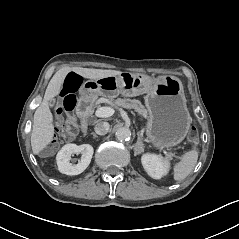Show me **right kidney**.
Wrapping results in <instances>:
<instances>
[{"mask_svg":"<svg viewBox=\"0 0 239 239\" xmlns=\"http://www.w3.org/2000/svg\"><path fill=\"white\" fill-rule=\"evenodd\" d=\"M73 154H82L78 163L72 159ZM93 156V147L89 144H68L57 155V163L60 172L67 175H78L82 173L90 164Z\"/></svg>","mask_w":239,"mask_h":239,"instance_id":"ca27d5eb","label":"right kidney"}]
</instances>
